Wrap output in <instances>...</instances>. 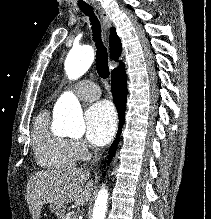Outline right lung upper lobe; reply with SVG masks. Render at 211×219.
<instances>
[{"mask_svg":"<svg viewBox=\"0 0 211 219\" xmlns=\"http://www.w3.org/2000/svg\"><path fill=\"white\" fill-rule=\"evenodd\" d=\"M109 44H110L111 58L115 61H118V58H119L121 51H122V45H121V40L117 36L116 29L114 27H112L110 30V43ZM121 67H124V64L121 61H119V67L115 68L112 71V73Z\"/></svg>","mask_w":211,"mask_h":219,"instance_id":"1","label":"right lung upper lobe"}]
</instances>
